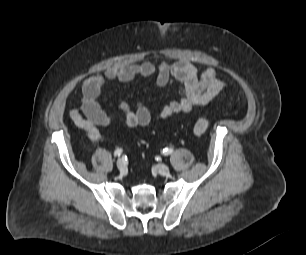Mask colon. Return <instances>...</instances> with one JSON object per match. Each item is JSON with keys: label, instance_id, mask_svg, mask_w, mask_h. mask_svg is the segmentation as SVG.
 <instances>
[{"label": "colon", "instance_id": "5ec220e1", "mask_svg": "<svg viewBox=\"0 0 306 255\" xmlns=\"http://www.w3.org/2000/svg\"><path fill=\"white\" fill-rule=\"evenodd\" d=\"M209 128V121L206 118H197L193 125V132L197 137H202Z\"/></svg>", "mask_w": 306, "mask_h": 255}]
</instances>
